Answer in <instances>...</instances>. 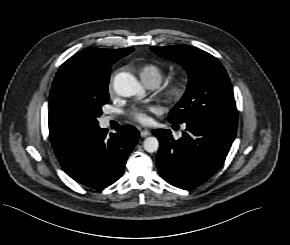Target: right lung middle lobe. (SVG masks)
Returning <instances> with one entry per match:
<instances>
[{
    "label": "right lung middle lobe",
    "instance_id": "dd1d6c3e",
    "mask_svg": "<svg viewBox=\"0 0 290 245\" xmlns=\"http://www.w3.org/2000/svg\"><path fill=\"white\" fill-rule=\"evenodd\" d=\"M115 62L70 61L56 74L52 85L54 94L87 128L98 126L97 118L108 103L110 67Z\"/></svg>",
    "mask_w": 290,
    "mask_h": 245
}]
</instances>
